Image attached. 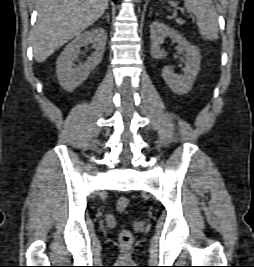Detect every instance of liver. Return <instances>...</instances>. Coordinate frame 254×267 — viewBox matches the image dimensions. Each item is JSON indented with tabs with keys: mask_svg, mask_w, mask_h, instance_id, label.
<instances>
[{
	"mask_svg": "<svg viewBox=\"0 0 254 267\" xmlns=\"http://www.w3.org/2000/svg\"><path fill=\"white\" fill-rule=\"evenodd\" d=\"M108 8V0H40L32 32L36 62H44L65 43L95 23Z\"/></svg>",
	"mask_w": 254,
	"mask_h": 267,
	"instance_id": "6515ba94",
	"label": "liver"
}]
</instances>
